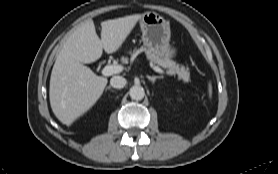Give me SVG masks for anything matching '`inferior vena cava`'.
Listing matches in <instances>:
<instances>
[{"label":"inferior vena cava","mask_w":278,"mask_h":174,"mask_svg":"<svg viewBox=\"0 0 278 174\" xmlns=\"http://www.w3.org/2000/svg\"><path fill=\"white\" fill-rule=\"evenodd\" d=\"M126 83H127L126 79L123 78L122 76H114L110 80V85L113 88H117V89L123 88L126 85Z\"/></svg>","instance_id":"obj_1"}]
</instances>
